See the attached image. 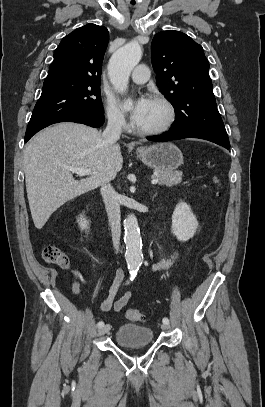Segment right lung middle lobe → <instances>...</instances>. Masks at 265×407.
Masks as SVG:
<instances>
[{
  "mask_svg": "<svg viewBox=\"0 0 265 407\" xmlns=\"http://www.w3.org/2000/svg\"><path fill=\"white\" fill-rule=\"evenodd\" d=\"M85 111L103 113L100 80L48 77L44 81L42 94L35 105L27 131L61 116Z\"/></svg>",
  "mask_w": 265,
  "mask_h": 407,
  "instance_id": "right-lung-middle-lobe-1",
  "label": "right lung middle lobe"
}]
</instances>
